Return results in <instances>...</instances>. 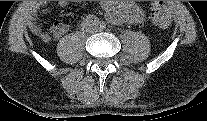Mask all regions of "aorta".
Segmentation results:
<instances>
[{
    "label": "aorta",
    "mask_w": 207,
    "mask_h": 121,
    "mask_svg": "<svg viewBox=\"0 0 207 121\" xmlns=\"http://www.w3.org/2000/svg\"><path fill=\"white\" fill-rule=\"evenodd\" d=\"M122 4L113 3L110 9L112 20L116 23H126L129 20V11Z\"/></svg>",
    "instance_id": "aorta-1"
}]
</instances>
